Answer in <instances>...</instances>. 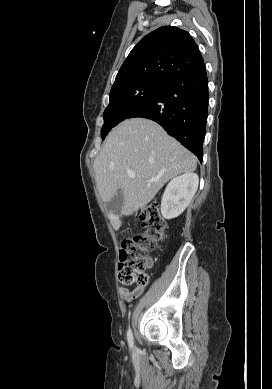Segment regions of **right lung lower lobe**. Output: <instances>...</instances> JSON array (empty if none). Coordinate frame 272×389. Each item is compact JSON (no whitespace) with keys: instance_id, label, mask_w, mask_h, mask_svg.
Wrapping results in <instances>:
<instances>
[{"instance_id":"1","label":"right lung lower lobe","mask_w":272,"mask_h":389,"mask_svg":"<svg viewBox=\"0 0 272 389\" xmlns=\"http://www.w3.org/2000/svg\"><path fill=\"white\" fill-rule=\"evenodd\" d=\"M207 113L208 78L203 62L168 82L126 119L143 117L157 122L202 162Z\"/></svg>"}]
</instances>
